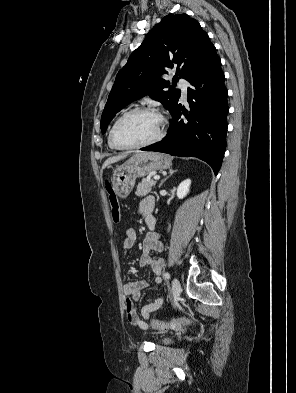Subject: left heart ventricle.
I'll return each instance as SVG.
<instances>
[{
    "label": "left heart ventricle",
    "instance_id": "b2bd125f",
    "mask_svg": "<svg viewBox=\"0 0 296 393\" xmlns=\"http://www.w3.org/2000/svg\"><path fill=\"white\" fill-rule=\"evenodd\" d=\"M160 128V119L151 113H137L126 118L117 129V140L134 145L152 139Z\"/></svg>",
    "mask_w": 296,
    "mask_h": 393
}]
</instances>
